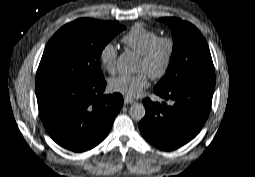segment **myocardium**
I'll return each instance as SVG.
<instances>
[{"mask_svg":"<svg viewBox=\"0 0 255 177\" xmlns=\"http://www.w3.org/2000/svg\"><path fill=\"white\" fill-rule=\"evenodd\" d=\"M161 45L165 46L166 48V53H165L162 65L155 72L147 74L148 77L153 80L159 79L167 73L174 56V51H175L174 40L171 37H167V36L158 37L153 42H151L147 46L145 51L140 55V59L148 63L152 60L156 49Z\"/></svg>","mask_w":255,"mask_h":177,"instance_id":"obj_1","label":"myocardium"}]
</instances>
